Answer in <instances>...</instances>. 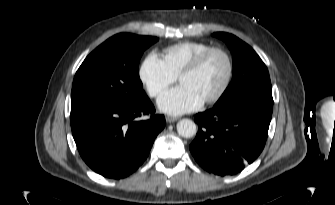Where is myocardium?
<instances>
[{
	"label": "myocardium",
	"mask_w": 335,
	"mask_h": 205,
	"mask_svg": "<svg viewBox=\"0 0 335 205\" xmlns=\"http://www.w3.org/2000/svg\"><path fill=\"white\" fill-rule=\"evenodd\" d=\"M214 53H220L225 57V59L227 61L228 70H227L226 77H225L221 87L219 88V90L213 96L204 100L203 101L204 104H213V103L218 102L225 95L227 90L229 89V86L232 82L233 75H234V62H233V59H232L230 53L227 50H225L224 48H221V47H210L209 49H207L204 52H202L201 54H199L178 75V79H179V81H181V79L184 76H187V75H190V74H193V73L197 72L203 66V64L209 58V56H211Z\"/></svg>",
	"instance_id": "1"
}]
</instances>
